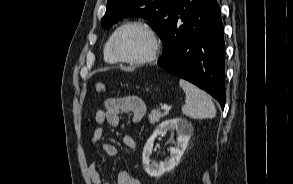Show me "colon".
Wrapping results in <instances>:
<instances>
[{
	"mask_svg": "<svg viewBox=\"0 0 293 184\" xmlns=\"http://www.w3.org/2000/svg\"><path fill=\"white\" fill-rule=\"evenodd\" d=\"M106 89V86L104 83L102 82H97L94 86V90L97 92V93H103Z\"/></svg>",
	"mask_w": 293,
	"mask_h": 184,
	"instance_id": "colon-1",
	"label": "colon"
}]
</instances>
